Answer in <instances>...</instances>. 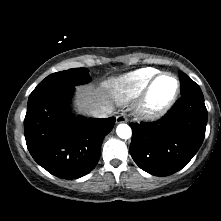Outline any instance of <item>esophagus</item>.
Returning <instances> with one entry per match:
<instances>
[{
    "instance_id": "34e87169",
    "label": "esophagus",
    "mask_w": 221,
    "mask_h": 221,
    "mask_svg": "<svg viewBox=\"0 0 221 221\" xmlns=\"http://www.w3.org/2000/svg\"><path fill=\"white\" fill-rule=\"evenodd\" d=\"M127 122V117L125 114H119L118 116H116V123L119 124V123H125Z\"/></svg>"
}]
</instances>
